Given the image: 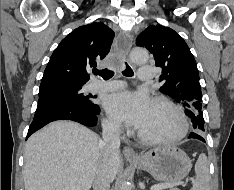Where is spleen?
<instances>
[{"label":"spleen","instance_id":"1","mask_svg":"<svg viewBox=\"0 0 234 190\" xmlns=\"http://www.w3.org/2000/svg\"><path fill=\"white\" fill-rule=\"evenodd\" d=\"M195 180L191 190H210V174L207 157L204 153L199 155L195 164Z\"/></svg>","mask_w":234,"mask_h":190}]
</instances>
